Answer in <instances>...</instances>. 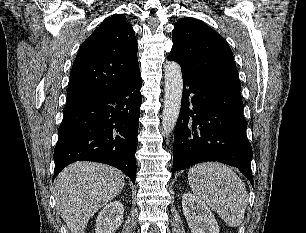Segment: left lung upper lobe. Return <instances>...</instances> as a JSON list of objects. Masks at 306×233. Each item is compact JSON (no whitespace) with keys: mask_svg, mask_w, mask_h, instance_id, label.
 Returning <instances> with one entry per match:
<instances>
[{"mask_svg":"<svg viewBox=\"0 0 306 233\" xmlns=\"http://www.w3.org/2000/svg\"><path fill=\"white\" fill-rule=\"evenodd\" d=\"M169 60L181 65L182 74L196 80L240 90L232 51L221 35L194 18H181L172 31Z\"/></svg>","mask_w":306,"mask_h":233,"instance_id":"1","label":"left lung upper lobe"}]
</instances>
